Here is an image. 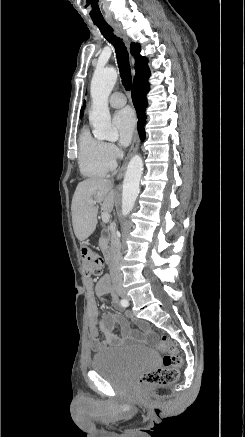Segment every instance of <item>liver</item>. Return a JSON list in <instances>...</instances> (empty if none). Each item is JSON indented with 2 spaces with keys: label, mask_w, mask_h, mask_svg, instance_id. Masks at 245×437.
Returning a JSON list of instances; mask_svg holds the SVG:
<instances>
[{
  "label": "liver",
  "mask_w": 245,
  "mask_h": 437,
  "mask_svg": "<svg viewBox=\"0 0 245 437\" xmlns=\"http://www.w3.org/2000/svg\"><path fill=\"white\" fill-rule=\"evenodd\" d=\"M95 199L93 203L89 202ZM116 200L113 182L103 178H90L80 182L75 190L71 211L75 236L87 239L96 229L98 204L103 212H111Z\"/></svg>",
  "instance_id": "6515ba94"
}]
</instances>
